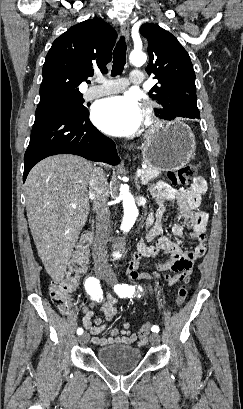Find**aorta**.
I'll use <instances>...</instances> for the list:
<instances>
[{
	"mask_svg": "<svg viewBox=\"0 0 243 409\" xmlns=\"http://www.w3.org/2000/svg\"><path fill=\"white\" fill-rule=\"evenodd\" d=\"M129 59L133 65L141 66L146 62L147 56L141 51H133L130 54ZM120 198L122 199L124 209V216L121 226L124 231H129L135 224L139 211L135 204V200L126 185H121L120 187Z\"/></svg>",
	"mask_w": 243,
	"mask_h": 409,
	"instance_id": "obj_1",
	"label": "aorta"
}]
</instances>
